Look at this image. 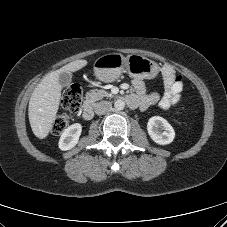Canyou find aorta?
I'll return each mask as SVG.
<instances>
[{
  "label": "aorta",
  "instance_id": "1",
  "mask_svg": "<svg viewBox=\"0 0 227 227\" xmlns=\"http://www.w3.org/2000/svg\"><path fill=\"white\" fill-rule=\"evenodd\" d=\"M114 107L116 110H123L125 107V102L121 99H118L115 101Z\"/></svg>",
  "mask_w": 227,
  "mask_h": 227
}]
</instances>
